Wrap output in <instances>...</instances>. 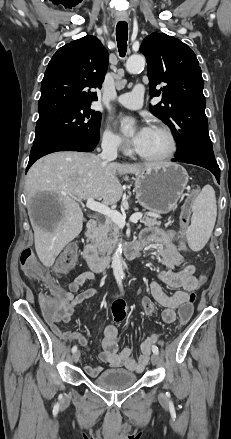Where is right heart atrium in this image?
<instances>
[{
  "label": "right heart atrium",
  "instance_id": "obj_1",
  "mask_svg": "<svg viewBox=\"0 0 231 439\" xmlns=\"http://www.w3.org/2000/svg\"><path fill=\"white\" fill-rule=\"evenodd\" d=\"M102 144L109 150H124V143L120 136L107 126L102 133Z\"/></svg>",
  "mask_w": 231,
  "mask_h": 439
}]
</instances>
